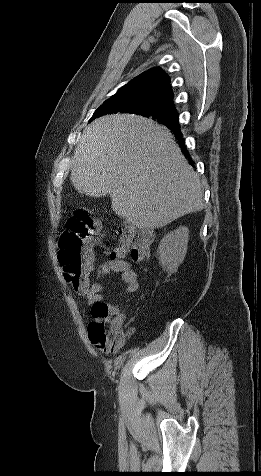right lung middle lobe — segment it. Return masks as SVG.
I'll use <instances>...</instances> for the list:
<instances>
[{
    "instance_id": "obj_1",
    "label": "right lung middle lobe",
    "mask_w": 261,
    "mask_h": 476,
    "mask_svg": "<svg viewBox=\"0 0 261 476\" xmlns=\"http://www.w3.org/2000/svg\"><path fill=\"white\" fill-rule=\"evenodd\" d=\"M126 112L141 115L144 117H151L163 123L169 125L178 122V114L175 108L170 107L164 103L158 101H142L122 103L120 97L113 96L106 100L94 113L93 120L105 114Z\"/></svg>"
}]
</instances>
